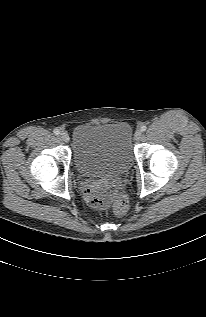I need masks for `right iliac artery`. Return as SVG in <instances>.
Here are the masks:
<instances>
[{
  "mask_svg": "<svg viewBox=\"0 0 206 317\" xmlns=\"http://www.w3.org/2000/svg\"><path fill=\"white\" fill-rule=\"evenodd\" d=\"M53 132H54L55 135H59L60 134V131L58 129H55Z\"/></svg>",
  "mask_w": 206,
  "mask_h": 317,
  "instance_id": "obj_1",
  "label": "right iliac artery"
}]
</instances>
